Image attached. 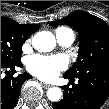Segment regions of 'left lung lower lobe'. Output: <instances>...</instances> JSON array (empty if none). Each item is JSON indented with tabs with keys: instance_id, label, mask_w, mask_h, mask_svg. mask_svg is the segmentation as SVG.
I'll return each instance as SVG.
<instances>
[{
	"instance_id": "0a47b994",
	"label": "left lung lower lobe",
	"mask_w": 109,
	"mask_h": 109,
	"mask_svg": "<svg viewBox=\"0 0 109 109\" xmlns=\"http://www.w3.org/2000/svg\"><path fill=\"white\" fill-rule=\"evenodd\" d=\"M64 77L77 84L63 86V99L53 103L54 109H99L109 96V64H94L83 72Z\"/></svg>"
}]
</instances>
